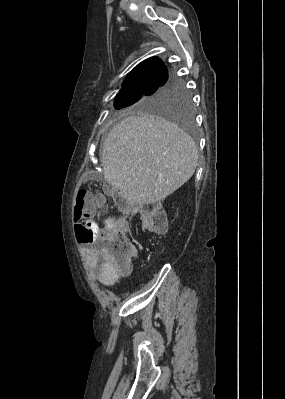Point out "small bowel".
I'll return each mask as SVG.
<instances>
[{"instance_id": "obj_1", "label": "small bowel", "mask_w": 285, "mask_h": 399, "mask_svg": "<svg viewBox=\"0 0 285 399\" xmlns=\"http://www.w3.org/2000/svg\"><path fill=\"white\" fill-rule=\"evenodd\" d=\"M109 225V224H108ZM85 231L82 232L83 235L86 234V231H96L98 229V225L96 223H83ZM137 251V247H134V252ZM86 256L90 265H95L98 263V255L97 249L93 247L85 248ZM119 273L115 270V268L111 265V263L104 258L103 262L99 265V279L100 282L104 286H110L113 284L119 277Z\"/></svg>"}]
</instances>
